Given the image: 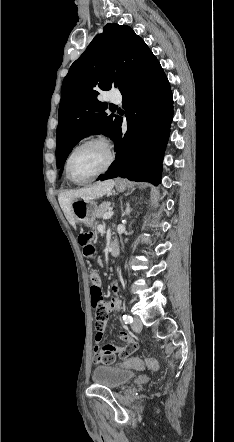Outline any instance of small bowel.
<instances>
[{
	"label": "small bowel",
	"mask_w": 234,
	"mask_h": 442,
	"mask_svg": "<svg viewBox=\"0 0 234 442\" xmlns=\"http://www.w3.org/2000/svg\"><path fill=\"white\" fill-rule=\"evenodd\" d=\"M97 285L100 287V280ZM111 290L114 293L117 292L118 286L116 283L111 284ZM120 308L121 302L117 298H113L108 304V310L119 311ZM109 320L110 317L108 314H97L93 321V326L96 328L95 340L97 343L94 347L95 363L99 369L112 367V365L117 364L118 361H122L128 356L134 355L135 351L140 347L139 342L134 341V337L128 336L126 333H120L119 335L120 340L125 342L124 348L122 349L107 342L101 344Z\"/></svg>",
	"instance_id": "1"
}]
</instances>
